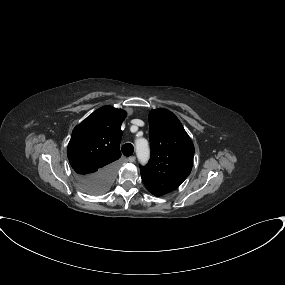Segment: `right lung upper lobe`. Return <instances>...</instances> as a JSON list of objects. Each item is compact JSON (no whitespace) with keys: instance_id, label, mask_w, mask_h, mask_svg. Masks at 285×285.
<instances>
[{"instance_id":"1","label":"right lung upper lobe","mask_w":285,"mask_h":285,"mask_svg":"<svg viewBox=\"0 0 285 285\" xmlns=\"http://www.w3.org/2000/svg\"><path fill=\"white\" fill-rule=\"evenodd\" d=\"M125 117L124 110L103 106L74 128L68 159L76 173H96L120 158L121 124Z\"/></svg>"}]
</instances>
